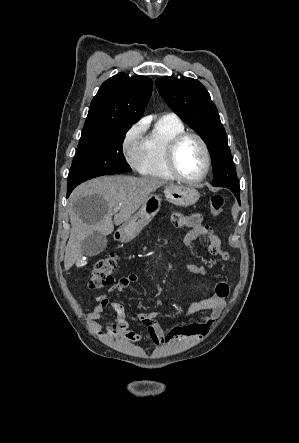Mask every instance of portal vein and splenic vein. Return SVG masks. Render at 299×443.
Masks as SVG:
<instances>
[{
  "mask_svg": "<svg viewBox=\"0 0 299 443\" xmlns=\"http://www.w3.org/2000/svg\"><path fill=\"white\" fill-rule=\"evenodd\" d=\"M117 211H118V209H115V210H114V212H117Z\"/></svg>",
  "mask_w": 299,
  "mask_h": 443,
  "instance_id": "1",
  "label": "portal vein and splenic vein"
}]
</instances>
